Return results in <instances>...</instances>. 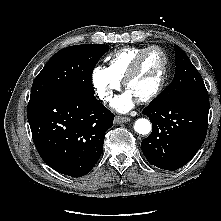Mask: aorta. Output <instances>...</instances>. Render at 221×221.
<instances>
[{
  "instance_id": "aorta-1",
  "label": "aorta",
  "mask_w": 221,
  "mask_h": 221,
  "mask_svg": "<svg viewBox=\"0 0 221 221\" xmlns=\"http://www.w3.org/2000/svg\"><path fill=\"white\" fill-rule=\"evenodd\" d=\"M134 129L139 134H149V132L151 131V123L148 119L139 118L135 121Z\"/></svg>"
}]
</instances>
